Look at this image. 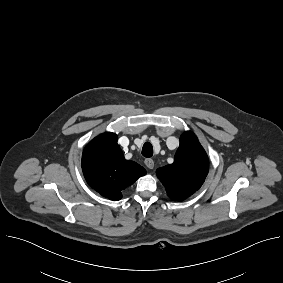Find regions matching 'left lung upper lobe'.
<instances>
[{"label":"left lung upper lobe","mask_w":283,"mask_h":283,"mask_svg":"<svg viewBox=\"0 0 283 283\" xmlns=\"http://www.w3.org/2000/svg\"><path fill=\"white\" fill-rule=\"evenodd\" d=\"M208 169L209 161L205 150L195 134L186 131L180 137V145L174 162L158 168L156 174L165 186L168 196L180 201L201 187Z\"/></svg>","instance_id":"left-lung-upper-lobe-1"}]
</instances>
